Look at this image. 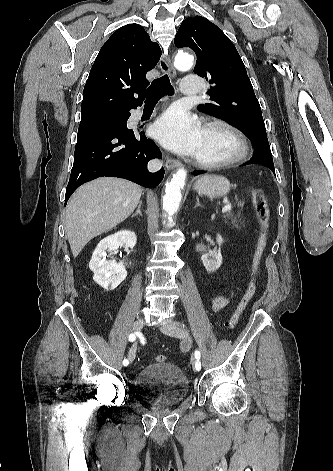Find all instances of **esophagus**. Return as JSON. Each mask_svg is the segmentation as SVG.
Segmentation results:
<instances>
[{
	"label": "esophagus",
	"instance_id": "34e87169",
	"mask_svg": "<svg viewBox=\"0 0 333 471\" xmlns=\"http://www.w3.org/2000/svg\"><path fill=\"white\" fill-rule=\"evenodd\" d=\"M159 66L161 70L165 73H168L170 76L175 77L176 71L171 62L170 56L162 55L159 60ZM166 168L172 170L181 166L180 161L167 157L165 162Z\"/></svg>",
	"mask_w": 333,
	"mask_h": 471
}]
</instances>
